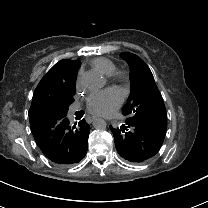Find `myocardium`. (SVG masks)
<instances>
[{"mask_svg":"<svg viewBox=\"0 0 208 208\" xmlns=\"http://www.w3.org/2000/svg\"><path fill=\"white\" fill-rule=\"evenodd\" d=\"M118 78H119V79H124V78H125V74H124V73H120V74L118 75Z\"/></svg>","mask_w":208,"mask_h":208,"instance_id":"f54148a6","label":"myocardium"}]
</instances>
